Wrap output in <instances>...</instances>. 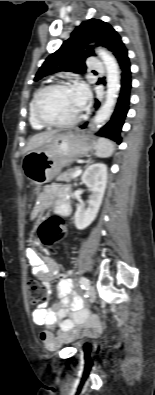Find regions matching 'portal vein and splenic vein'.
Here are the masks:
<instances>
[{
  "label": "portal vein and splenic vein",
  "mask_w": 155,
  "mask_h": 395,
  "mask_svg": "<svg viewBox=\"0 0 155 395\" xmlns=\"http://www.w3.org/2000/svg\"><path fill=\"white\" fill-rule=\"evenodd\" d=\"M81 170L80 169H78L73 175H72V178H75V177H77L78 175H80L81 174Z\"/></svg>",
  "instance_id": "1"
}]
</instances>
